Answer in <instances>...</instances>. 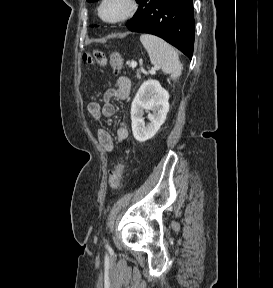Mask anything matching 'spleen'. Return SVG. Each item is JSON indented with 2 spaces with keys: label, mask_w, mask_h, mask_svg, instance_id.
Returning a JSON list of instances; mask_svg holds the SVG:
<instances>
[{
  "label": "spleen",
  "mask_w": 273,
  "mask_h": 288,
  "mask_svg": "<svg viewBox=\"0 0 273 288\" xmlns=\"http://www.w3.org/2000/svg\"><path fill=\"white\" fill-rule=\"evenodd\" d=\"M140 41L147 50L152 64L159 65L164 73L170 74L172 80H176L181 75L182 64L171 45L150 34H142Z\"/></svg>",
  "instance_id": "3e777b00"
}]
</instances>
